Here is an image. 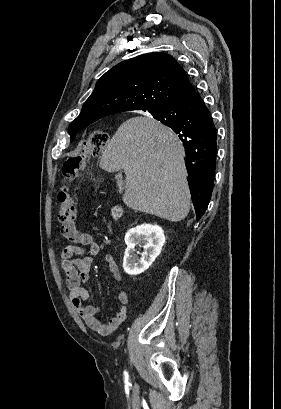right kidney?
<instances>
[{
  "instance_id": "right-kidney-1",
  "label": "right kidney",
  "mask_w": 281,
  "mask_h": 409,
  "mask_svg": "<svg viewBox=\"0 0 281 409\" xmlns=\"http://www.w3.org/2000/svg\"><path fill=\"white\" fill-rule=\"evenodd\" d=\"M163 229L158 225H137L129 229L125 235V249L123 257V269L127 275H141L144 273L156 257L160 255L161 249L165 243ZM142 245L144 253L141 257L135 255V247Z\"/></svg>"
}]
</instances>
